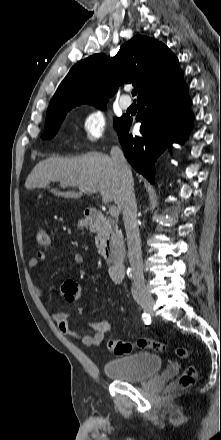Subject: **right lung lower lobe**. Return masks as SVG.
Instances as JSON below:
<instances>
[{"label": "right lung lower lobe", "instance_id": "obj_1", "mask_svg": "<svg viewBox=\"0 0 221 440\" xmlns=\"http://www.w3.org/2000/svg\"><path fill=\"white\" fill-rule=\"evenodd\" d=\"M190 106L188 88L181 79L167 89L138 100L136 121L142 123V136L129 134L132 123L129 117H124L116 129L126 158L149 182L154 183L156 158L167 145L171 148L172 143L185 140V134L191 130Z\"/></svg>", "mask_w": 221, "mask_h": 440}]
</instances>
